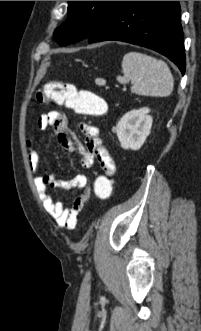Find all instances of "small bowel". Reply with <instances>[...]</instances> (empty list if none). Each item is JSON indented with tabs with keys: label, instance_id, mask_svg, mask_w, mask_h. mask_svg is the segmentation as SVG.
I'll return each instance as SVG.
<instances>
[{
	"label": "small bowel",
	"instance_id": "small-bowel-1",
	"mask_svg": "<svg viewBox=\"0 0 201 331\" xmlns=\"http://www.w3.org/2000/svg\"><path fill=\"white\" fill-rule=\"evenodd\" d=\"M37 126L40 131L54 127L59 143L67 150L76 152L80 156L82 168L89 169L96 160L102 173L112 177L115 173V163L100 138L99 129L90 123H81L80 130L84 135V144L70 129L66 116L57 110L39 116ZM28 161L33 174V180L40 200L46 212L55 220L58 226L74 229L78 217L90 198V188L85 175H77L69 181H63L55 175H42L39 172L40 156L32 140L28 141ZM51 188H78L80 194L71 207L66 208L60 201H55L50 193Z\"/></svg>",
	"mask_w": 201,
	"mask_h": 331
}]
</instances>
